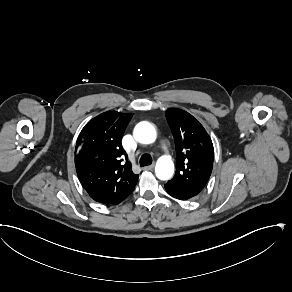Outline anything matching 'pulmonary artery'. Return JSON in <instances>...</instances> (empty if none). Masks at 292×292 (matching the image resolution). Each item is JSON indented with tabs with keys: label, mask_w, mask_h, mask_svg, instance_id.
Returning <instances> with one entry per match:
<instances>
[{
	"label": "pulmonary artery",
	"mask_w": 292,
	"mask_h": 292,
	"mask_svg": "<svg viewBox=\"0 0 292 292\" xmlns=\"http://www.w3.org/2000/svg\"><path fill=\"white\" fill-rule=\"evenodd\" d=\"M144 139V137H143ZM170 139L165 136V133L163 131H160L158 133V136L155 140V147L159 150L163 149V152L167 155L170 156L172 154V151L170 150Z\"/></svg>",
	"instance_id": "1"
}]
</instances>
